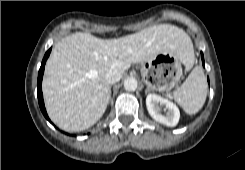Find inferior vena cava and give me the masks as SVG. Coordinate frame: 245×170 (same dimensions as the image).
I'll list each match as a JSON object with an SVG mask.
<instances>
[{
    "label": "inferior vena cava",
    "mask_w": 245,
    "mask_h": 170,
    "mask_svg": "<svg viewBox=\"0 0 245 170\" xmlns=\"http://www.w3.org/2000/svg\"><path fill=\"white\" fill-rule=\"evenodd\" d=\"M122 77V72L112 67L109 68L105 73V79L109 84L117 83Z\"/></svg>",
    "instance_id": "obj_1"
}]
</instances>
